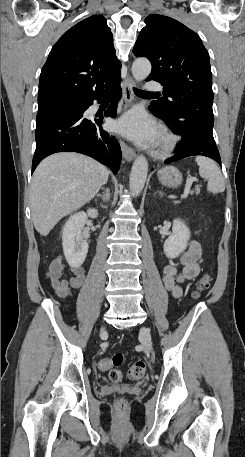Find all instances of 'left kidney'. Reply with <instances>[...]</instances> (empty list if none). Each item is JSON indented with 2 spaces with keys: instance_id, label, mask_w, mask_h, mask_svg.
<instances>
[{
  "instance_id": "1",
  "label": "left kidney",
  "mask_w": 245,
  "mask_h": 457,
  "mask_svg": "<svg viewBox=\"0 0 245 457\" xmlns=\"http://www.w3.org/2000/svg\"><path fill=\"white\" fill-rule=\"evenodd\" d=\"M190 231L183 220L174 218L172 233L166 239L163 249L168 259H176L185 249H187L188 241L190 239Z\"/></svg>"
}]
</instances>
